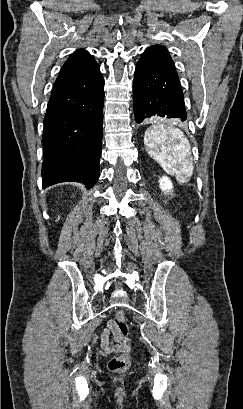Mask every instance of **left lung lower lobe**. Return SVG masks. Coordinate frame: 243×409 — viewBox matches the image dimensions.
Instances as JSON below:
<instances>
[{
  "instance_id": "1",
  "label": "left lung lower lobe",
  "mask_w": 243,
  "mask_h": 409,
  "mask_svg": "<svg viewBox=\"0 0 243 409\" xmlns=\"http://www.w3.org/2000/svg\"><path fill=\"white\" fill-rule=\"evenodd\" d=\"M133 102L137 123L151 116L187 119L177 72L156 65L137 63Z\"/></svg>"
}]
</instances>
